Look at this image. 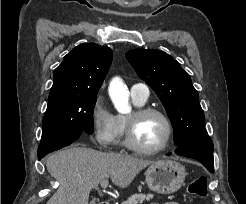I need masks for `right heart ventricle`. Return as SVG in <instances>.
<instances>
[{
    "label": "right heart ventricle",
    "instance_id": "right-heart-ventricle-1",
    "mask_svg": "<svg viewBox=\"0 0 246 204\" xmlns=\"http://www.w3.org/2000/svg\"><path fill=\"white\" fill-rule=\"evenodd\" d=\"M133 102L136 106L141 107L145 103L139 102L133 99ZM125 128H126V116L117 115L116 116V130L113 138V143L116 145L124 144V136H125Z\"/></svg>",
    "mask_w": 246,
    "mask_h": 204
}]
</instances>
